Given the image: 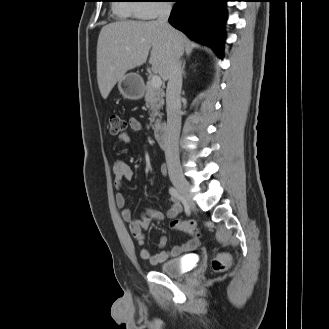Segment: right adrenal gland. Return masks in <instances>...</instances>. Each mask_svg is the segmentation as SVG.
<instances>
[{"label": "right adrenal gland", "mask_w": 329, "mask_h": 329, "mask_svg": "<svg viewBox=\"0 0 329 329\" xmlns=\"http://www.w3.org/2000/svg\"><path fill=\"white\" fill-rule=\"evenodd\" d=\"M184 68H185V61L183 62V65H182V72L184 74V76L186 75L185 71H184Z\"/></svg>", "instance_id": "obj_1"}]
</instances>
